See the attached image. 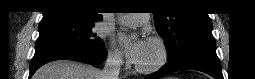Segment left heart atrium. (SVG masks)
I'll use <instances>...</instances> for the list:
<instances>
[{
	"label": "left heart atrium",
	"mask_w": 255,
	"mask_h": 79,
	"mask_svg": "<svg viewBox=\"0 0 255 79\" xmlns=\"http://www.w3.org/2000/svg\"><path fill=\"white\" fill-rule=\"evenodd\" d=\"M119 41L124 48L128 60L137 64L146 50L147 41L142 37L131 41L125 35H121Z\"/></svg>",
	"instance_id": "left-heart-atrium-1"
}]
</instances>
